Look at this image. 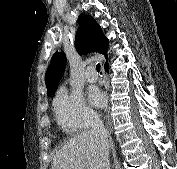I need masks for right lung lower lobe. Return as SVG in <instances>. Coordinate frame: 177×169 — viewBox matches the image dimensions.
Segmentation results:
<instances>
[{
    "mask_svg": "<svg viewBox=\"0 0 177 169\" xmlns=\"http://www.w3.org/2000/svg\"><path fill=\"white\" fill-rule=\"evenodd\" d=\"M104 68H105V70H106L107 72H109V65H108V63L105 64Z\"/></svg>",
    "mask_w": 177,
    "mask_h": 169,
    "instance_id": "right-lung-lower-lobe-1",
    "label": "right lung lower lobe"
}]
</instances>
